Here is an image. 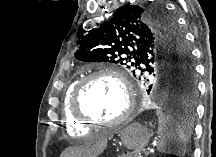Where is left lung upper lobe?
Segmentation results:
<instances>
[{
    "label": "left lung upper lobe",
    "mask_w": 216,
    "mask_h": 157,
    "mask_svg": "<svg viewBox=\"0 0 216 157\" xmlns=\"http://www.w3.org/2000/svg\"><path fill=\"white\" fill-rule=\"evenodd\" d=\"M82 37L75 53L78 60L121 64L141 75L148 72L166 94L185 97V104L194 107L195 97L189 96L196 87L191 53L175 19L163 7L128 4Z\"/></svg>",
    "instance_id": "left-lung-upper-lobe-1"
}]
</instances>
